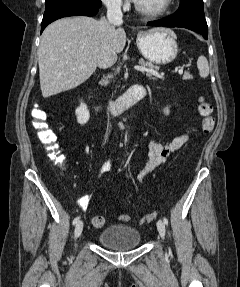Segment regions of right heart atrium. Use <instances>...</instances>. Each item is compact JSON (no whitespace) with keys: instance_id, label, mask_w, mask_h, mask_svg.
<instances>
[{"instance_id":"d8ad5b80","label":"right heart atrium","mask_w":240,"mask_h":287,"mask_svg":"<svg viewBox=\"0 0 240 287\" xmlns=\"http://www.w3.org/2000/svg\"><path fill=\"white\" fill-rule=\"evenodd\" d=\"M106 7L113 10H120L125 6V0H102Z\"/></svg>"}]
</instances>
